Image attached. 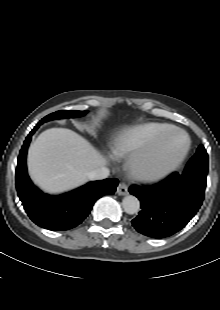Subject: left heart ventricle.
<instances>
[{
	"mask_svg": "<svg viewBox=\"0 0 220 310\" xmlns=\"http://www.w3.org/2000/svg\"><path fill=\"white\" fill-rule=\"evenodd\" d=\"M184 139L179 134H173L160 148L158 154L152 162V168H160L175 159L180 152Z\"/></svg>",
	"mask_w": 220,
	"mask_h": 310,
	"instance_id": "obj_1",
	"label": "left heart ventricle"
}]
</instances>
